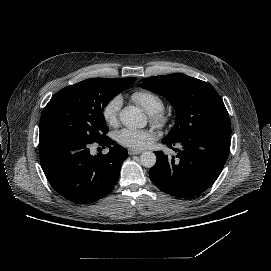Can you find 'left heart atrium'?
Instances as JSON below:
<instances>
[{"label":"left heart atrium","mask_w":271,"mask_h":271,"mask_svg":"<svg viewBox=\"0 0 271 271\" xmlns=\"http://www.w3.org/2000/svg\"><path fill=\"white\" fill-rule=\"evenodd\" d=\"M153 140V134L148 129L124 128L116 133V141L123 147L141 150Z\"/></svg>","instance_id":"1"}]
</instances>
